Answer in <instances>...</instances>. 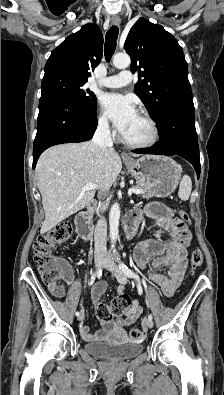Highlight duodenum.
Wrapping results in <instances>:
<instances>
[{
  "label": "duodenum",
  "mask_w": 224,
  "mask_h": 395,
  "mask_svg": "<svg viewBox=\"0 0 224 395\" xmlns=\"http://www.w3.org/2000/svg\"><path fill=\"white\" fill-rule=\"evenodd\" d=\"M96 205V200H93L89 206L82 210L74 220L75 229L80 238L88 240L92 237L93 226H92V213ZM141 219V213L139 211L130 212L124 220V231L127 240L134 237L139 221Z\"/></svg>",
  "instance_id": "obj_1"
}]
</instances>
